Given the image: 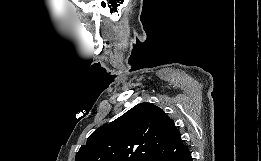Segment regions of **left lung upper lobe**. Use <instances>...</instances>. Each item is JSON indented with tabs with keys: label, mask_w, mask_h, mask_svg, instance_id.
<instances>
[{
	"label": "left lung upper lobe",
	"mask_w": 261,
	"mask_h": 161,
	"mask_svg": "<svg viewBox=\"0 0 261 161\" xmlns=\"http://www.w3.org/2000/svg\"><path fill=\"white\" fill-rule=\"evenodd\" d=\"M176 131L161 108L140 103L96 129L75 161H149L154 150L166 145Z\"/></svg>",
	"instance_id": "5c2ea615"
}]
</instances>
